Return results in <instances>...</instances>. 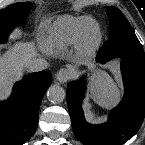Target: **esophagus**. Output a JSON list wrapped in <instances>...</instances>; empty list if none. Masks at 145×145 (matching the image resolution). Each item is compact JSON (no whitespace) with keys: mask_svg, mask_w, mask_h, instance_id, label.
<instances>
[{"mask_svg":"<svg viewBox=\"0 0 145 145\" xmlns=\"http://www.w3.org/2000/svg\"><path fill=\"white\" fill-rule=\"evenodd\" d=\"M70 73L67 69H60L56 74V80L63 84L69 79Z\"/></svg>","mask_w":145,"mask_h":145,"instance_id":"1","label":"esophagus"}]
</instances>
